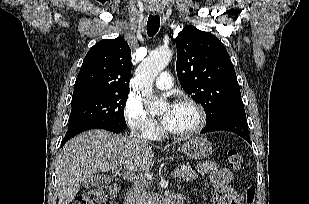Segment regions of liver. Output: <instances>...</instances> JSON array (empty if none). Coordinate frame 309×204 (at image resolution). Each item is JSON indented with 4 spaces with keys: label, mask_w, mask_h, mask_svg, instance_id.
<instances>
[{
    "label": "liver",
    "mask_w": 309,
    "mask_h": 204,
    "mask_svg": "<svg viewBox=\"0 0 309 204\" xmlns=\"http://www.w3.org/2000/svg\"><path fill=\"white\" fill-rule=\"evenodd\" d=\"M154 153L148 144L136 143L126 135L90 130L68 141L56 162L59 204H70L82 182L95 173L124 167L131 173L149 171Z\"/></svg>",
    "instance_id": "liver-1"
}]
</instances>
